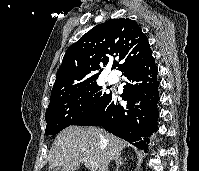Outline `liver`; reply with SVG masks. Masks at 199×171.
I'll return each instance as SVG.
<instances>
[{
    "label": "liver",
    "instance_id": "obj_1",
    "mask_svg": "<svg viewBox=\"0 0 199 171\" xmlns=\"http://www.w3.org/2000/svg\"><path fill=\"white\" fill-rule=\"evenodd\" d=\"M126 142L95 127L70 126L55 139L49 170L76 171L81 162H95L99 171H108L111 160L125 148Z\"/></svg>",
    "mask_w": 199,
    "mask_h": 171
}]
</instances>
